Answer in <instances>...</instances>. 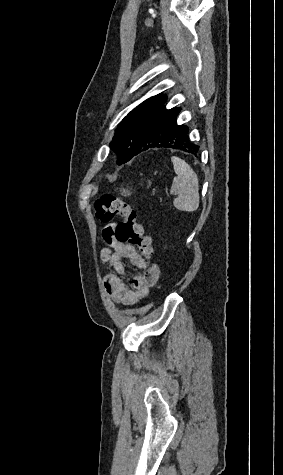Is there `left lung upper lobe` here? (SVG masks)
Returning <instances> with one entry per match:
<instances>
[{
	"mask_svg": "<svg viewBox=\"0 0 283 475\" xmlns=\"http://www.w3.org/2000/svg\"><path fill=\"white\" fill-rule=\"evenodd\" d=\"M164 98L165 95L158 94L145 100L135 109H133L118 125L116 133L110 144L111 148L115 146L118 139L122 135L131 134L136 136L140 134L149 114L154 109V107L157 106Z\"/></svg>",
	"mask_w": 283,
	"mask_h": 475,
	"instance_id": "5c2ea615",
	"label": "left lung upper lobe"
}]
</instances>
